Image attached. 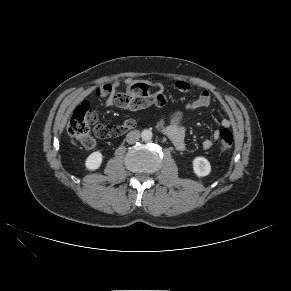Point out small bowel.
Segmentation results:
<instances>
[{
  "label": "small bowel",
  "instance_id": "small-bowel-1",
  "mask_svg": "<svg viewBox=\"0 0 291 291\" xmlns=\"http://www.w3.org/2000/svg\"><path fill=\"white\" fill-rule=\"evenodd\" d=\"M124 85L125 91L123 92L119 91L121 83L118 81L105 84L97 89V94L106 98L104 103L105 107L115 106L126 110H141L152 105L159 108H163L166 105V96L161 85H154L153 89L150 90L146 83L135 79H127ZM175 88L182 93H187L192 89L191 85L183 80L176 81ZM211 100V93L208 90H203L194 100L186 105V111L193 112L206 108L210 105ZM183 121L184 112L178 111L168 119H160L157 124L158 129L168 137L176 150L180 152L187 150ZM222 126L229 128L231 121L229 119H223ZM218 137L219 131H215L213 133V139L216 140ZM212 145L213 141L211 139H205L202 142V148L205 150L210 149Z\"/></svg>",
  "mask_w": 291,
  "mask_h": 291
}]
</instances>
